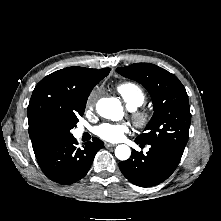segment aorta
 Returning <instances> with one entry per match:
<instances>
[{
	"label": "aorta",
	"mask_w": 221,
	"mask_h": 221,
	"mask_svg": "<svg viewBox=\"0 0 221 221\" xmlns=\"http://www.w3.org/2000/svg\"><path fill=\"white\" fill-rule=\"evenodd\" d=\"M96 110L100 116L113 121L122 119L124 114L121 102L116 98L100 99L96 104ZM130 155L131 149L125 144L118 145L115 149V156L121 161L129 159Z\"/></svg>",
	"instance_id": "obj_1"
}]
</instances>
